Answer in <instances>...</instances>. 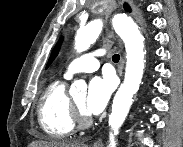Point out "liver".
I'll return each mask as SVG.
<instances>
[{
    "mask_svg": "<svg viewBox=\"0 0 183 147\" xmlns=\"http://www.w3.org/2000/svg\"><path fill=\"white\" fill-rule=\"evenodd\" d=\"M29 147H85L84 144L80 142H65V141H35L29 144Z\"/></svg>",
    "mask_w": 183,
    "mask_h": 147,
    "instance_id": "obj_1",
    "label": "liver"
}]
</instances>
